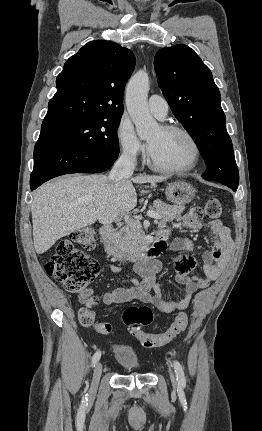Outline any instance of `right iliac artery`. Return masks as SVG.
<instances>
[{
	"label": "right iliac artery",
	"mask_w": 262,
	"mask_h": 431,
	"mask_svg": "<svg viewBox=\"0 0 262 431\" xmlns=\"http://www.w3.org/2000/svg\"><path fill=\"white\" fill-rule=\"evenodd\" d=\"M100 357H101V352H100V351H97V352L93 355V357H92V365H93V366H95V364L99 361ZM86 396H87V395H86Z\"/></svg>",
	"instance_id": "right-iliac-artery-1"
}]
</instances>
